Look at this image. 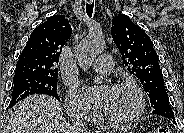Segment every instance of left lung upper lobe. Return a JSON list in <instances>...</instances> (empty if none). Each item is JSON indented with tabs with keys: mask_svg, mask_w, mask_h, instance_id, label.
<instances>
[{
	"mask_svg": "<svg viewBox=\"0 0 184 133\" xmlns=\"http://www.w3.org/2000/svg\"><path fill=\"white\" fill-rule=\"evenodd\" d=\"M111 34L125 66L143 85L152 107L170 106L159 58L150 37L124 14L113 18Z\"/></svg>",
	"mask_w": 184,
	"mask_h": 133,
	"instance_id": "obj_1",
	"label": "left lung upper lobe"
}]
</instances>
